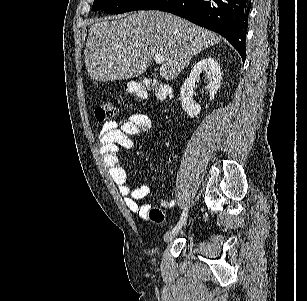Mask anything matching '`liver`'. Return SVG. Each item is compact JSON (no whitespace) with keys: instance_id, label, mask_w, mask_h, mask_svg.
Returning a JSON list of instances; mask_svg holds the SVG:
<instances>
[{"instance_id":"obj_1","label":"liver","mask_w":307,"mask_h":301,"mask_svg":"<svg viewBox=\"0 0 307 301\" xmlns=\"http://www.w3.org/2000/svg\"><path fill=\"white\" fill-rule=\"evenodd\" d=\"M85 48V66L94 80L134 78L155 54L164 58L162 78L171 80L185 64L222 36L162 10H137L121 18H95Z\"/></svg>"}]
</instances>
